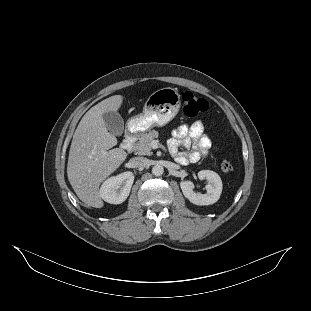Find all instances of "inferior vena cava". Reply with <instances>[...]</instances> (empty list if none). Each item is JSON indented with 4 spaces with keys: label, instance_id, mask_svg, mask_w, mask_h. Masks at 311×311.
<instances>
[{
    "label": "inferior vena cava",
    "instance_id": "obj_1",
    "mask_svg": "<svg viewBox=\"0 0 311 311\" xmlns=\"http://www.w3.org/2000/svg\"><path fill=\"white\" fill-rule=\"evenodd\" d=\"M132 167L145 168L149 164V160L144 157H134L130 160Z\"/></svg>",
    "mask_w": 311,
    "mask_h": 311
}]
</instances>
